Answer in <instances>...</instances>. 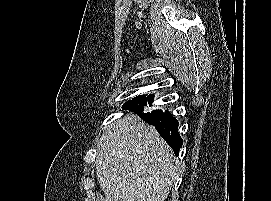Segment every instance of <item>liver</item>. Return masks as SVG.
Segmentation results:
<instances>
[{"instance_id":"6515ba94","label":"liver","mask_w":271,"mask_h":201,"mask_svg":"<svg viewBox=\"0 0 271 201\" xmlns=\"http://www.w3.org/2000/svg\"><path fill=\"white\" fill-rule=\"evenodd\" d=\"M96 175L104 201H165L177 167L156 129L127 115L105 127L98 142Z\"/></svg>"}]
</instances>
